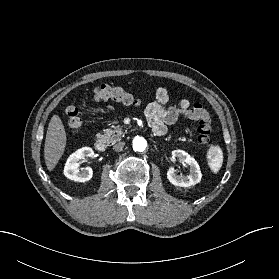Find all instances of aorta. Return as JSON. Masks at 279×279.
I'll use <instances>...</instances> for the list:
<instances>
[{
    "mask_svg": "<svg viewBox=\"0 0 279 279\" xmlns=\"http://www.w3.org/2000/svg\"><path fill=\"white\" fill-rule=\"evenodd\" d=\"M147 142L143 137L136 136L133 139V149L138 152H143L146 149Z\"/></svg>",
    "mask_w": 279,
    "mask_h": 279,
    "instance_id": "obj_1",
    "label": "aorta"
}]
</instances>
